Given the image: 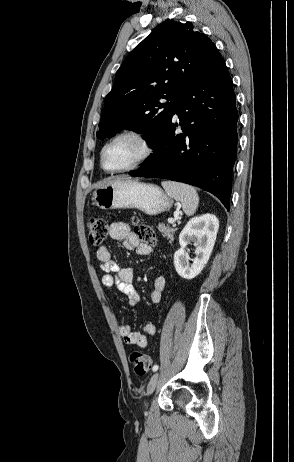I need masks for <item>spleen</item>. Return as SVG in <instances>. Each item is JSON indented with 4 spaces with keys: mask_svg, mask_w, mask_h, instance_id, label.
Masks as SVG:
<instances>
[{
    "mask_svg": "<svg viewBox=\"0 0 294 462\" xmlns=\"http://www.w3.org/2000/svg\"><path fill=\"white\" fill-rule=\"evenodd\" d=\"M161 184L170 197L181 202L186 215L191 216L196 212L199 197L194 187L173 181H163Z\"/></svg>",
    "mask_w": 294,
    "mask_h": 462,
    "instance_id": "obj_1",
    "label": "spleen"
}]
</instances>
